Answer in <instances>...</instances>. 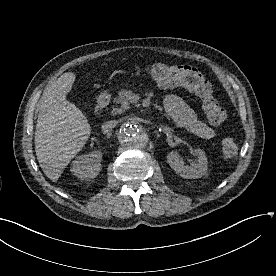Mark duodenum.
Returning <instances> with one entry per match:
<instances>
[{
	"instance_id": "1",
	"label": "duodenum",
	"mask_w": 276,
	"mask_h": 276,
	"mask_svg": "<svg viewBox=\"0 0 276 276\" xmlns=\"http://www.w3.org/2000/svg\"><path fill=\"white\" fill-rule=\"evenodd\" d=\"M110 102V96L107 93H101L98 96L96 112L97 114H101L103 110L108 106Z\"/></svg>"
}]
</instances>
